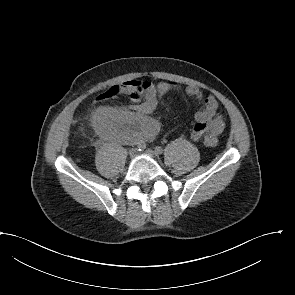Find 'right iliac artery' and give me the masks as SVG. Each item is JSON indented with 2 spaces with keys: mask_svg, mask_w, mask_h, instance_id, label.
Instances as JSON below:
<instances>
[{
  "mask_svg": "<svg viewBox=\"0 0 295 295\" xmlns=\"http://www.w3.org/2000/svg\"><path fill=\"white\" fill-rule=\"evenodd\" d=\"M144 148H145V146H143V145H137L136 146V149L139 150V151L143 150Z\"/></svg>",
  "mask_w": 295,
  "mask_h": 295,
  "instance_id": "obj_1",
  "label": "right iliac artery"
}]
</instances>
